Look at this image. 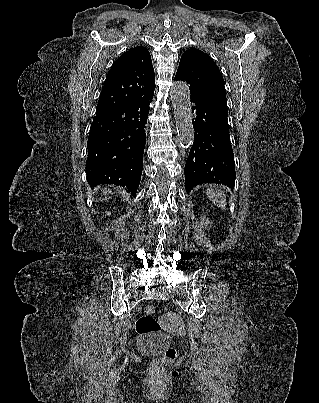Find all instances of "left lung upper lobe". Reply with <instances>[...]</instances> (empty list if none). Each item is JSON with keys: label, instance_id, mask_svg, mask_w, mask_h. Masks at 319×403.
I'll return each instance as SVG.
<instances>
[{"label": "left lung upper lobe", "instance_id": "left-lung-upper-lobe-1", "mask_svg": "<svg viewBox=\"0 0 319 403\" xmlns=\"http://www.w3.org/2000/svg\"><path fill=\"white\" fill-rule=\"evenodd\" d=\"M176 74L192 87L226 95L218 66L209 55L198 49H189L182 55Z\"/></svg>", "mask_w": 319, "mask_h": 403}]
</instances>
